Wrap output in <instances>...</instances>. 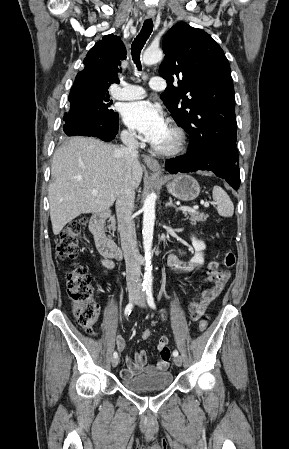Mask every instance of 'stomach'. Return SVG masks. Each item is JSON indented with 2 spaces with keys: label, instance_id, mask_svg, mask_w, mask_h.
<instances>
[{
  "label": "stomach",
  "instance_id": "stomach-1",
  "mask_svg": "<svg viewBox=\"0 0 289 449\" xmlns=\"http://www.w3.org/2000/svg\"><path fill=\"white\" fill-rule=\"evenodd\" d=\"M167 189L171 195L182 201H192L198 197L200 186L198 182L189 175H177L167 183Z\"/></svg>",
  "mask_w": 289,
  "mask_h": 449
}]
</instances>
